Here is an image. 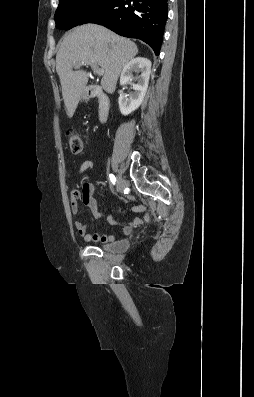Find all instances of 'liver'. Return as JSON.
Listing matches in <instances>:
<instances>
[{
	"instance_id": "6515ba94",
	"label": "liver",
	"mask_w": 254,
	"mask_h": 397,
	"mask_svg": "<svg viewBox=\"0 0 254 397\" xmlns=\"http://www.w3.org/2000/svg\"><path fill=\"white\" fill-rule=\"evenodd\" d=\"M138 54L137 45L105 27L86 24L64 37L56 55V71L62 86L66 114L72 118L88 82L77 65H97L104 70L102 88L112 94L122 68Z\"/></svg>"
}]
</instances>
